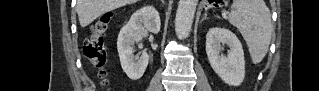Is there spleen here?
<instances>
[{
    "instance_id": "3e777b00",
    "label": "spleen",
    "mask_w": 319,
    "mask_h": 91,
    "mask_svg": "<svg viewBox=\"0 0 319 91\" xmlns=\"http://www.w3.org/2000/svg\"><path fill=\"white\" fill-rule=\"evenodd\" d=\"M230 24L242 34L254 64L266 56L272 34L269 8L263 0H234L228 14Z\"/></svg>"
}]
</instances>
